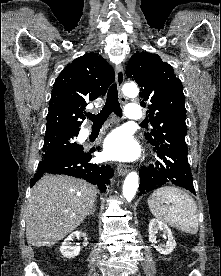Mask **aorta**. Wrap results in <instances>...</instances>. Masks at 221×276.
<instances>
[{"instance_id": "aorta-1", "label": "aorta", "mask_w": 221, "mask_h": 276, "mask_svg": "<svg viewBox=\"0 0 221 276\" xmlns=\"http://www.w3.org/2000/svg\"><path fill=\"white\" fill-rule=\"evenodd\" d=\"M123 93L128 97H136L139 93V89L136 84L127 83L123 86ZM139 186V176L136 172H130L123 184V196L127 201H131L135 196Z\"/></svg>"}]
</instances>
